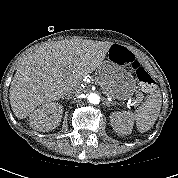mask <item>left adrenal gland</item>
<instances>
[{
  "mask_svg": "<svg viewBox=\"0 0 178 178\" xmlns=\"http://www.w3.org/2000/svg\"><path fill=\"white\" fill-rule=\"evenodd\" d=\"M107 106H110V104L114 105L117 104L116 102H112V101H105Z\"/></svg>",
  "mask_w": 178,
  "mask_h": 178,
  "instance_id": "left-adrenal-gland-1",
  "label": "left adrenal gland"
}]
</instances>
